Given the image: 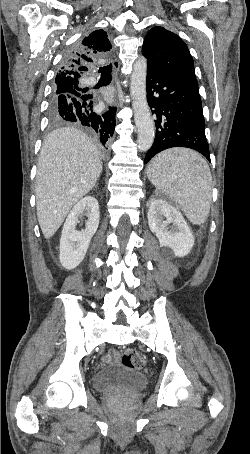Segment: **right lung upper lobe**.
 Masks as SVG:
<instances>
[{
    "label": "right lung upper lobe",
    "instance_id": "obj_1",
    "mask_svg": "<svg viewBox=\"0 0 250 454\" xmlns=\"http://www.w3.org/2000/svg\"><path fill=\"white\" fill-rule=\"evenodd\" d=\"M112 48L107 33L96 30L85 37L77 48L68 53L64 58L62 67L56 75L55 85L79 83L87 70L85 65H90Z\"/></svg>",
    "mask_w": 250,
    "mask_h": 454
}]
</instances>
